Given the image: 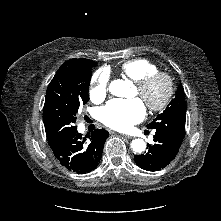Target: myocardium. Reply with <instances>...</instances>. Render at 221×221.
Listing matches in <instances>:
<instances>
[{
    "instance_id": "myocardium-1",
    "label": "myocardium",
    "mask_w": 221,
    "mask_h": 221,
    "mask_svg": "<svg viewBox=\"0 0 221 221\" xmlns=\"http://www.w3.org/2000/svg\"><path fill=\"white\" fill-rule=\"evenodd\" d=\"M159 81L164 84V94L159 101L152 102L148 99L147 95L149 90ZM136 86L138 94L141 96L148 109L152 112H160L164 110L170 103L174 94L173 78L166 72L156 71L136 82Z\"/></svg>"
}]
</instances>
